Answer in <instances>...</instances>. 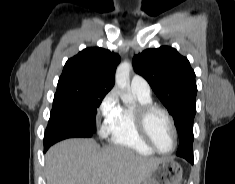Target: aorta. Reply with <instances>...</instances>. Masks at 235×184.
I'll list each match as a JSON object with an SVG mask.
<instances>
[{"instance_id":"762f6f07","label":"aorta","mask_w":235,"mask_h":184,"mask_svg":"<svg viewBox=\"0 0 235 184\" xmlns=\"http://www.w3.org/2000/svg\"><path fill=\"white\" fill-rule=\"evenodd\" d=\"M130 70L131 64L123 62V64L118 66L115 74L116 86L124 92V94L120 96L123 104H133V98L128 90V88H130Z\"/></svg>"}]
</instances>
